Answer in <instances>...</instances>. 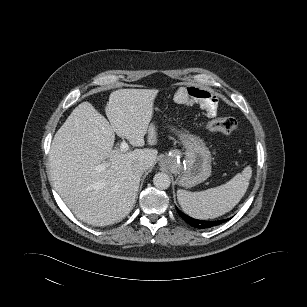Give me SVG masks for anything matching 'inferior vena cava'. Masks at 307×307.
<instances>
[{"instance_id":"602c4592","label":"inferior vena cava","mask_w":307,"mask_h":307,"mask_svg":"<svg viewBox=\"0 0 307 307\" xmlns=\"http://www.w3.org/2000/svg\"><path fill=\"white\" fill-rule=\"evenodd\" d=\"M133 169L137 173L142 174L145 171V165L144 163H137L134 165Z\"/></svg>"}]
</instances>
